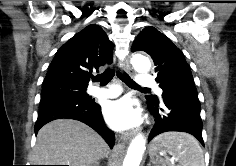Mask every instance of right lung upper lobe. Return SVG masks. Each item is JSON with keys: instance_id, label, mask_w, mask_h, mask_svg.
<instances>
[{"instance_id": "obj_1", "label": "right lung upper lobe", "mask_w": 236, "mask_h": 166, "mask_svg": "<svg viewBox=\"0 0 236 166\" xmlns=\"http://www.w3.org/2000/svg\"><path fill=\"white\" fill-rule=\"evenodd\" d=\"M113 47L100 26L88 25L58 49L44 84L68 82L87 87L91 72L112 62Z\"/></svg>"}]
</instances>
